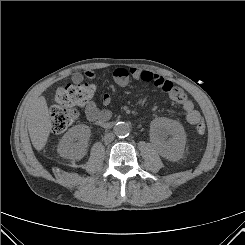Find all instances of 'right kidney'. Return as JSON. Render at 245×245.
Segmentation results:
<instances>
[{"instance_id":"ca27d5eb","label":"right kidney","mask_w":245,"mask_h":245,"mask_svg":"<svg viewBox=\"0 0 245 245\" xmlns=\"http://www.w3.org/2000/svg\"><path fill=\"white\" fill-rule=\"evenodd\" d=\"M90 135L91 130L87 125L80 124L70 128L58 145L60 156L81 159L86 153Z\"/></svg>"}]
</instances>
